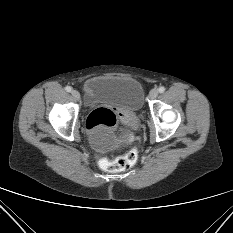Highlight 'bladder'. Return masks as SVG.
Wrapping results in <instances>:
<instances>
[{
  "label": "bladder",
  "instance_id": "1",
  "mask_svg": "<svg viewBox=\"0 0 233 233\" xmlns=\"http://www.w3.org/2000/svg\"><path fill=\"white\" fill-rule=\"evenodd\" d=\"M85 101L89 105L109 104L128 111H137L143 105L144 94L140 83L129 76H94L83 84ZM90 146L99 153H108L121 146L114 136L92 133Z\"/></svg>",
  "mask_w": 233,
  "mask_h": 233
}]
</instances>
